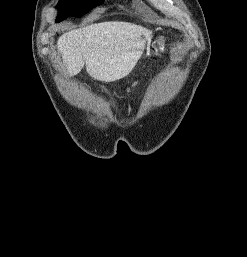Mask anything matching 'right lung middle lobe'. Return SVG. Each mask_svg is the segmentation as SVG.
<instances>
[{"mask_svg":"<svg viewBox=\"0 0 247 257\" xmlns=\"http://www.w3.org/2000/svg\"><path fill=\"white\" fill-rule=\"evenodd\" d=\"M103 2L104 0H59L57 21L59 22L70 15L80 17Z\"/></svg>","mask_w":247,"mask_h":257,"instance_id":"obj_1","label":"right lung middle lobe"}]
</instances>
